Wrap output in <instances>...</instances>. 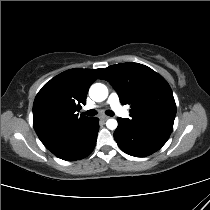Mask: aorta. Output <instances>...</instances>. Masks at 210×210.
Returning a JSON list of instances; mask_svg holds the SVG:
<instances>
[{"instance_id": "1", "label": "aorta", "mask_w": 210, "mask_h": 210, "mask_svg": "<svg viewBox=\"0 0 210 210\" xmlns=\"http://www.w3.org/2000/svg\"><path fill=\"white\" fill-rule=\"evenodd\" d=\"M89 96L92 100L96 102L104 101L108 96V89L102 83H95L89 89ZM106 126L110 130H115L118 126V123L115 119H108Z\"/></svg>"}]
</instances>
